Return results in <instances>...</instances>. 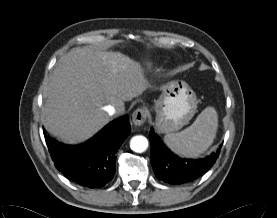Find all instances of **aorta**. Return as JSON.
<instances>
[{
    "label": "aorta",
    "instance_id": "1",
    "mask_svg": "<svg viewBox=\"0 0 277 218\" xmlns=\"http://www.w3.org/2000/svg\"><path fill=\"white\" fill-rule=\"evenodd\" d=\"M130 147L134 152L142 153L148 148V140L142 135L134 136L130 141Z\"/></svg>",
    "mask_w": 277,
    "mask_h": 218
}]
</instances>
